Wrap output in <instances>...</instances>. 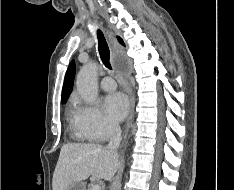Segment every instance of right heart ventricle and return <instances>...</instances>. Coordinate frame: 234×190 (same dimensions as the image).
Here are the masks:
<instances>
[{
  "label": "right heart ventricle",
  "instance_id": "1",
  "mask_svg": "<svg viewBox=\"0 0 234 190\" xmlns=\"http://www.w3.org/2000/svg\"><path fill=\"white\" fill-rule=\"evenodd\" d=\"M68 117L70 120V126L72 127L73 130H75L77 136L79 138H87L83 133L80 132L77 123H76V119H75V109L70 108L68 110Z\"/></svg>",
  "mask_w": 234,
  "mask_h": 190
}]
</instances>
